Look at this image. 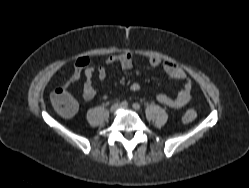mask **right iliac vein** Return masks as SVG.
<instances>
[{"label": "right iliac vein", "mask_w": 249, "mask_h": 188, "mask_svg": "<svg viewBox=\"0 0 249 188\" xmlns=\"http://www.w3.org/2000/svg\"><path fill=\"white\" fill-rule=\"evenodd\" d=\"M118 108H119L118 104H114V105L111 106L110 111L112 113H114V112H116L118 110Z\"/></svg>", "instance_id": "1"}]
</instances>
